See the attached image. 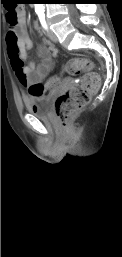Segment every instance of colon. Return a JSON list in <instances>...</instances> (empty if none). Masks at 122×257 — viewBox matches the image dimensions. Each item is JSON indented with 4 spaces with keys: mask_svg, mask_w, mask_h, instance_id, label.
Here are the masks:
<instances>
[{
    "mask_svg": "<svg viewBox=\"0 0 122 257\" xmlns=\"http://www.w3.org/2000/svg\"><path fill=\"white\" fill-rule=\"evenodd\" d=\"M3 10H9L7 20L9 24L14 25L18 18L16 11L18 5H3ZM92 67V62L86 58L70 59L60 70H55L54 76H49V79L28 83L27 94H29V98H46V94H50V90H61L59 84H64L67 73L76 76L87 71L80 84L68 89L55 101V114L61 124L67 126L72 117L88 104L91 95L100 86V77L91 71Z\"/></svg>",
    "mask_w": 122,
    "mask_h": 257,
    "instance_id": "obj_1",
    "label": "colon"
}]
</instances>
